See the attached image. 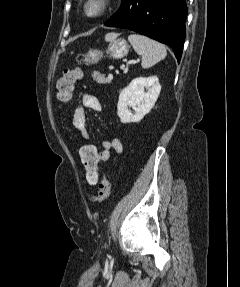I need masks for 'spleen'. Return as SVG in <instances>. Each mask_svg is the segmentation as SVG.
Here are the masks:
<instances>
[{
	"instance_id": "spleen-1",
	"label": "spleen",
	"mask_w": 240,
	"mask_h": 287,
	"mask_svg": "<svg viewBox=\"0 0 240 287\" xmlns=\"http://www.w3.org/2000/svg\"><path fill=\"white\" fill-rule=\"evenodd\" d=\"M128 40L135 52L142 56L141 66L148 69L163 60L167 51L163 44L141 34H130Z\"/></svg>"
}]
</instances>
